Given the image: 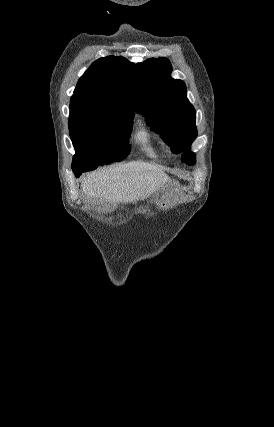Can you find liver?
I'll return each instance as SVG.
<instances>
[{
  "instance_id": "liver-1",
  "label": "liver",
  "mask_w": 274,
  "mask_h": 427,
  "mask_svg": "<svg viewBox=\"0 0 274 427\" xmlns=\"http://www.w3.org/2000/svg\"><path fill=\"white\" fill-rule=\"evenodd\" d=\"M168 180L162 168L138 160L87 174L86 178L81 180V188L90 200L98 198L100 202L108 204H127L146 200L147 196L156 192L161 188V184Z\"/></svg>"
}]
</instances>
